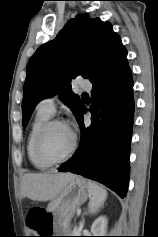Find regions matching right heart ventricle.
Masks as SVG:
<instances>
[{
    "label": "right heart ventricle",
    "instance_id": "right-heart-ventricle-1",
    "mask_svg": "<svg viewBox=\"0 0 158 237\" xmlns=\"http://www.w3.org/2000/svg\"><path fill=\"white\" fill-rule=\"evenodd\" d=\"M50 116L51 114L43 112L37 108L36 115L31 124V128L27 137L26 150H27L28 158L30 162L33 164V166L40 170H44L48 168L50 165L44 163L36 156L35 151H34V142H35V138L38 131L49 120Z\"/></svg>",
    "mask_w": 158,
    "mask_h": 237
}]
</instances>
